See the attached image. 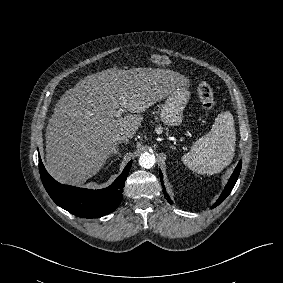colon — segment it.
<instances>
[{"label": "colon", "mask_w": 283, "mask_h": 283, "mask_svg": "<svg viewBox=\"0 0 283 283\" xmlns=\"http://www.w3.org/2000/svg\"><path fill=\"white\" fill-rule=\"evenodd\" d=\"M150 61L161 66H166L170 63L166 56L159 54L151 55ZM197 92L203 108L208 111L213 110L215 107V99L211 86L205 81H200L197 85Z\"/></svg>", "instance_id": "5ec220e1"}]
</instances>
